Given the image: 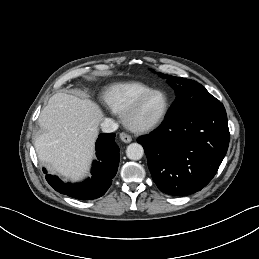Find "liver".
Returning <instances> with one entry per match:
<instances>
[{"label":"liver","instance_id":"obj_1","mask_svg":"<svg viewBox=\"0 0 259 259\" xmlns=\"http://www.w3.org/2000/svg\"><path fill=\"white\" fill-rule=\"evenodd\" d=\"M103 119L101 109L91 100L54 94L38 119L42 128L35 139L39 160L52 173L70 180L81 179L90 169Z\"/></svg>","mask_w":259,"mask_h":259}]
</instances>
